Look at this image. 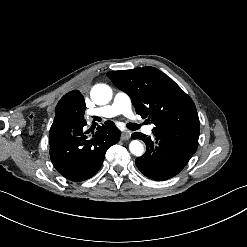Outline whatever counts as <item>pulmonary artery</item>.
<instances>
[{"label": "pulmonary artery", "mask_w": 247, "mask_h": 247, "mask_svg": "<svg viewBox=\"0 0 247 247\" xmlns=\"http://www.w3.org/2000/svg\"><path fill=\"white\" fill-rule=\"evenodd\" d=\"M120 114H124L128 117H133L134 113L132 111V98L131 96L124 91H117L114 95V98L110 104L101 106L95 109L87 110L85 112V121L90 124L93 120V117L99 118H113ZM134 123L136 124V129L140 130L139 132L147 133L148 135L153 136L154 124L148 125L145 130L144 124L141 123L140 117L134 118Z\"/></svg>", "instance_id": "e3ab8cb5"}]
</instances>
